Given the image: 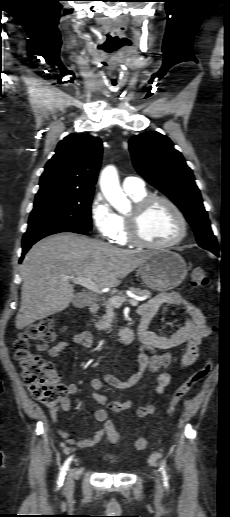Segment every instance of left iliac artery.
Wrapping results in <instances>:
<instances>
[{"label": "left iliac artery", "mask_w": 230, "mask_h": 517, "mask_svg": "<svg viewBox=\"0 0 230 517\" xmlns=\"http://www.w3.org/2000/svg\"><path fill=\"white\" fill-rule=\"evenodd\" d=\"M160 471H161L162 476H163V483H164V486H165L166 488H169L168 476H167L166 470H165V468H164V466H163V465H161V467H160Z\"/></svg>", "instance_id": "44dca946"}]
</instances>
